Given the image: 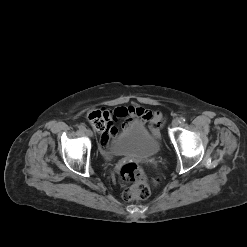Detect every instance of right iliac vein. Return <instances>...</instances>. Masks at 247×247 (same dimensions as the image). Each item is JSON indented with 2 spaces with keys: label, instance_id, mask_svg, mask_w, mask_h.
<instances>
[{
  "label": "right iliac vein",
  "instance_id": "obj_1",
  "mask_svg": "<svg viewBox=\"0 0 247 247\" xmlns=\"http://www.w3.org/2000/svg\"><path fill=\"white\" fill-rule=\"evenodd\" d=\"M85 133L89 136L92 137L93 136V132L90 129H85Z\"/></svg>",
  "mask_w": 247,
  "mask_h": 247
}]
</instances>
